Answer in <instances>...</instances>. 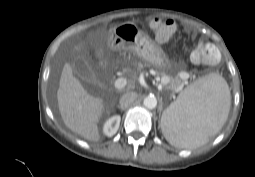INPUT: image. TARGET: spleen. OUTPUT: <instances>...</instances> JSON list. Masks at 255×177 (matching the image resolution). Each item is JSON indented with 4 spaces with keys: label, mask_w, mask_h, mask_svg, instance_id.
<instances>
[{
    "label": "spleen",
    "mask_w": 255,
    "mask_h": 177,
    "mask_svg": "<svg viewBox=\"0 0 255 177\" xmlns=\"http://www.w3.org/2000/svg\"><path fill=\"white\" fill-rule=\"evenodd\" d=\"M230 105L227 82L217 74H209L187 87L163 112L162 132L177 147L203 145L223 127Z\"/></svg>",
    "instance_id": "spleen-1"
}]
</instances>
